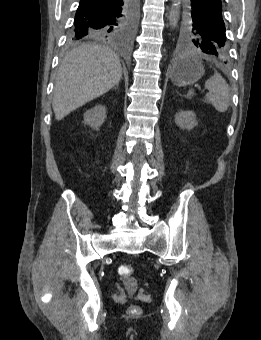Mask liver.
<instances>
[{"instance_id": "liver-1", "label": "liver", "mask_w": 261, "mask_h": 340, "mask_svg": "<svg viewBox=\"0 0 261 340\" xmlns=\"http://www.w3.org/2000/svg\"><path fill=\"white\" fill-rule=\"evenodd\" d=\"M121 78L119 57L110 48L85 44L73 49L62 61L56 77L52 101L56 120L105 94Z\"/></svg>"}]
</instances>
